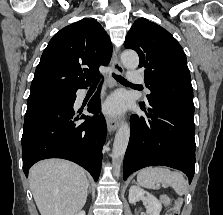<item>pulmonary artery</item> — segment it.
<instances>
[{"label": "pulmonary artery", "mask_w": 223, "mask_h": 215, "mask_svg": "<svg viewBox=\"0 0 223 215\" xmlns=\"http://www.w3.org/2000/svg\"><path fill=\"white\" fill-rule=\"evenodd\" d=\"M128 78H131V82H136L135 84L138 87L144 86L143 82L145 81V78L143 77V73H138V69H128ZM141 93L147 94L148 90L142 89Z\"/></svg>", "instance_id": "1"}]
</instances>
